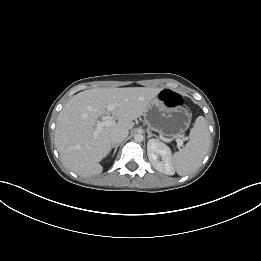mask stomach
<instances>
[{"mask_svg": "<svg viewBox=\"0 0 261 261\" xmlns=\"http://www.w3.org/2000/svg\"><path fill=\"white\" fill-rule=\"evenodd\" d=\"M191 117L187 108H169L158 98H154L144 112L148 127L167 137L184 133L190 125Z\"/></svg>", "mask_w": 261, "mask_h": 261, "instance_id": "1", "label": "stomach"}]
</instances>
